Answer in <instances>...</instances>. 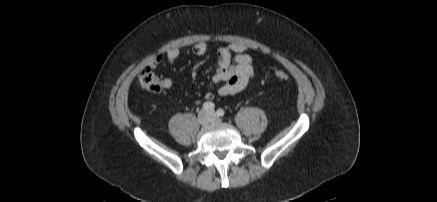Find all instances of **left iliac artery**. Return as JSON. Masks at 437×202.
Masks as SVG:
<instances>
[{"instance_id": "left-iliac-artery-1", "label": "left iliac artery", "mask_w": 437, "mask_h": 202, "mask_svg": "<svg viewBox=\"0 0 437 202\" xmlns=\"http://www.w3.org/2000/svg\"><path fill=\"white\" fill-rule=\"evenodd\" d=\"M224 114H225V111L223 109L220 108V109L217 110V115L218 116L222 117V116H224Z\"/></svg>"}]
</instances>
